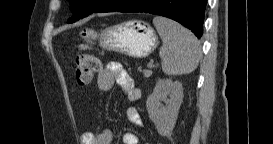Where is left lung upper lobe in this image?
I'll return each mask as SVG.
<instances>
[{
    "mask_svg": "<svg viewBox=\"0 0 273 144\" xmlns=\"http://www.w3.org/2000/svg\"><path fill=\"white\" fill-rule=\"evenodd\" d=\"M70 9L73 12V17L70 19L79 20L92 13L97 8L98 0H69Z\"/></svg>",
    "mask_w": 273,
    "mask_h": 144,
    "instance_id": "left-lung-upper-lobe-1",
    "label": "left lung upper lobe"
}]
</instances>
